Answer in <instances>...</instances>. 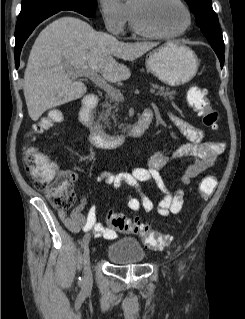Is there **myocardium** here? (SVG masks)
I'll return each instance as SVG.
<instances>
[{
	"label": "myocardium",
	"mask_w": 245,
	"mask_h": 319,
	"mask_svg": "<svg viewBox=\"0 0 245 319\" xmlns=\"http://www.w3.org/2000/svg\"><path fill=\"white\" fill-rule=\"evenodd\" d=\"M185 11L187 16L186 25L179 31L172 33L160 32L149 27L143 18V10L145 4L149 2V0H138V4L133 6L129 5L131 22L133 29L140 35L149 37V38H157V39H174L183 34H185L192 26V14L189 7L183 0H175Z\"/></svg>",
	"instance_id": "obj_1"
}]
</instances>
